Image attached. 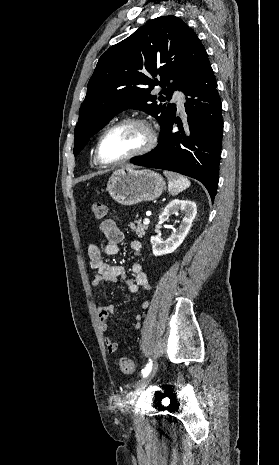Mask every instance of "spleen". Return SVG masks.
Listing matches in <instances>:
<instances>
[{"mask_svg":"<svg viewBox=\"0 0 279 465\" xmlns=\"http://www.w3.org/2000/svg\"><path fill=\"white\" fill-rule=\"evenodd\" d=\"M168 179V190L171 194L176 195L190 186V181L178 174L171 172H164Z\"/></svg>","mask_w":279,"mask_h":465,"instance_id":"spleen-1","label":"spleen"}]
</instances>
